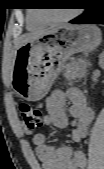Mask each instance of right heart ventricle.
I'll return each mask as SVG.
<instances>
[{
    "mask_svg": "<svg viewBox=\"0 0 104 169\" xmlns=\"http://www.w3.org/2000/svg\"><path fill=\"white\" fill-rule=\"evenodd\" d=\"M26 23H27V28L32 31L40 30L44 28L46 25L33 12L27 15Z\"/></svg>",
    "mask_w": 104,
    "mask_h": 169,
    "instance_id": "e07e8e85",
    "label": "right heart ventricle"
}]
</instances>
